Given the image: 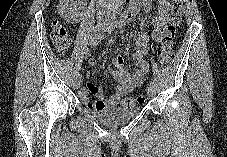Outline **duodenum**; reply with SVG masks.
<instances>
[{"label":"duodenum","mask_w":227,"mask_h":157,"mask_svg":"<svg viewBox=\"0 0 227 157\" xmlns=\"http://www.w3.org/2000/svg\"><path fill=\"white\" fill-rule=\"evenodd\" d=\"M138 0H133L127 11L120 18V22H126L138 13Z\"/></svg>","instance_id":"410a0bca"}]
</instances>
